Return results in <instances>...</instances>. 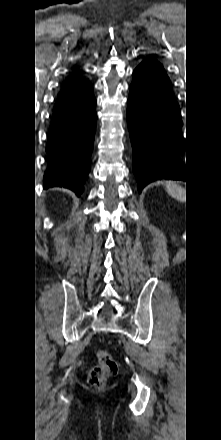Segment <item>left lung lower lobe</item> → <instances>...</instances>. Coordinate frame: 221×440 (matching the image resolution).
Returning a JSON list of instances; mask_svg holds the SVG:
<instances>
[{"instance_id": "1", "label": "left lung lower lobe", "mask_w": 221, "mask_h": 440, "mask_svg": "<svg viewBox=\"0 0 221 440\" xmlns=\"http://www.w3.org/2000/svg\"><path fill=\"white\" fill-rule=\"evenodd\" d=\"M127 101V122L138 190L161 180H186L180 159L185 146L182 118L163 66L145 58L133 72Z\"/></svg>"}]
</instances>
